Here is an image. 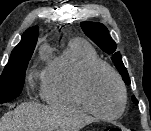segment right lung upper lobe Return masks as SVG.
<instances>
[{"mask_svg": "<svg viewBox=\"0 0 151 131\" xmlns=\"http://www.w3.org/2000/svg\"><path fill=\"white\" fill-rule=\"evenodd\" d=\"M37 39H38V27L35 26L32 28H29L22 35L21 42L15 48L36 44Z\"/></svg>", "mask_w": 151, "mask_h": 131, "instance_id": "cb5924a9", "label": "right lung upper lobe"}]
</instances>
